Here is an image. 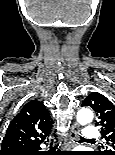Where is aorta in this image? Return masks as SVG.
<instances>
[{"mask_svg":"<svg viewBox=\"0 0 115 155\" xmlns=\"http://www.w3.org/2000/svg\"><path fill=\"white\" fill-rule=\"evenodd\" d=\"M93 120V112L89 108H82L77 113V121L81 125L91 123Z\"/></svg>","mask_w":115,"mask_h":155,"instance_id":"1","label":"aorta"}]
</instances>
